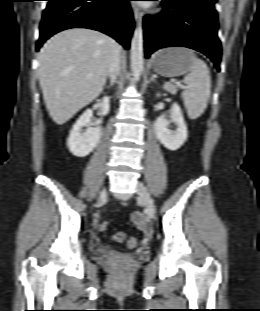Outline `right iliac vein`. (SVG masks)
<instances>
[{
  "mask_svg": "<svg viewBox=\"0 0 260 311\" xmlns=\"http://www.w3.org/2000/svg\"><path fill=\"white\" fill-rule=\"evenodd\" d=\"M107 196V190L103 189L99 195V201L105 199Z\"/></svg>",
  "mask_w": 260,
  "mask_h": 311,
  "instance_id": "63e3f726",
  "label": "right iliac vein"
}]
</instances>
